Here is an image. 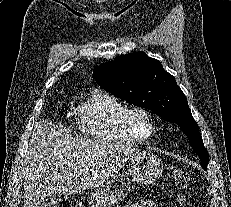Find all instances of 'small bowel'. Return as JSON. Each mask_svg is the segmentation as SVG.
Returning a JSON list of instances; mask_svg holds the SVG:
<instances>
[{"label":"small bowel","instance_id":"1","mask_svg":"<svg viewBox=\"0 0 231 207\" xmlns=\"http://www.w3.org/2000/svg\"><path fill=\"white\" fill-rule=\"evenodd\" d=\"M128 207H158L152 200H141L130 204Z\"/></svg>","mask_w":231,"mask_h":207}]
</instances>
